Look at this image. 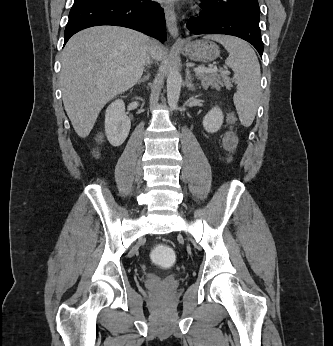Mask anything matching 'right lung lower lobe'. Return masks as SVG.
Returning <instances> with one entry per match:
<instances>
[{
    "label": "right lung lower lobe",
    "mask_w": 333,
    "mask_h": 346,
    "mask_svg": "<svg viewBox=\"0 0 333 346\" xmlns=\"http://www.w3.org/2000/svg\"><path fill=\"white\" fill-rule=\"evenodd\" d=\"M99 25L131 28L166 40L165 15L151 0H74L64 32V45L78 31Z\"/></svg>",
    "instance_id": "obj_1"
}]
</instances>
